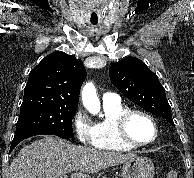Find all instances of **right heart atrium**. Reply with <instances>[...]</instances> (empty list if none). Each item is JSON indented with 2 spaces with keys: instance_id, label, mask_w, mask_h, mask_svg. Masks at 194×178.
Wrapping results in <instances>:
<instances>
[{
  "instance_id": "d8ad5b80",
  "label": "right heart atrium",
  "mask_w": 194,
  "mask_h": 178,
  "mask_svg": "<svg viewBox=\"0 0 194 178\" xmlns=\"http://www.w3.org/2000/svg\"><path fill=\"white\" fill-rule=\"evenodd\" d=\"M72 128L83 146L94 145V125L87 112L78 108L72 117Z\"/></svg>"
}]
</instances>
